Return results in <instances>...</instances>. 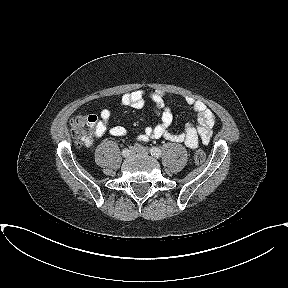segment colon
Returning a JSON list of instances; mask_svg holds the SVG:
<instances>
[{
    "instance_id": "obj_1",
    "label": "colon",
    "mask_w": 288,
    "mask_h": 288,
    "mask_svg": "<svg viewBox=\"0 0 288 288\" xmlns=\"http://www.w3.org/2000/svg\"><path fill=\"white\" fill-rule=\"evenodd\" d=\"M97 125L95 115H80L71 119L70 128L77 144H90ZM194 160L197 164H202L206 160V154L202 149H197L194 153Z\"/></svg>"
}]
</instances>
